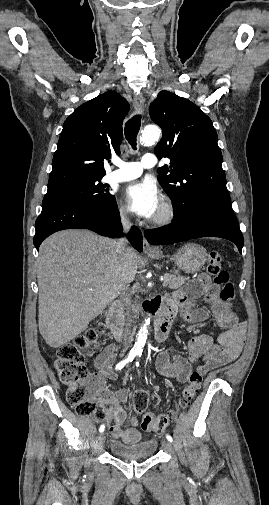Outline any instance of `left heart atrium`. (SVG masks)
I'll return each instance as SVG.
<instances>
[{
  "mask_svg": "<svg viewBox=\"0 0 269 505\" xmlns=\"http://www.w3.org/2000/svg\"><path fill=\"white\" fill-rule=\"evenodd\" d=\"M124 200L129 210L141 217L152 218L161 207V195L151 180L131 183L124 190Z\"/></svg>",
  "mask_w": 269,
  "mask_h": 505,
  "instance_id": "1",
  "label": "left heart atrium"
}]
</instances>
